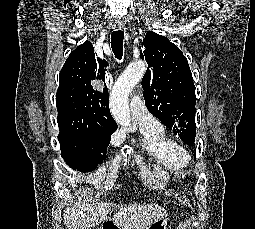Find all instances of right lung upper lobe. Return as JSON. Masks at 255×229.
Returning <instances> with one entry per match:
<instances>
[{"label": "right lung upper lobe", "instance_id": "1", "mask_svg": "<svg viewBox=\"0 0 255 229\" xmlns=\"http://www.w3.org/2000/svg\"><path fill=\"white\" fill-rule=\"evenodd\" d=\"M95 58L90 41L71 52L60 71L56 94L58 126L69 134L110 136L117 124L109 110L108 89L93 88L94 80L105 82L106 61Z\"/></svg>", "mask_w": 255, "mask_h": 229}]
</instances>
